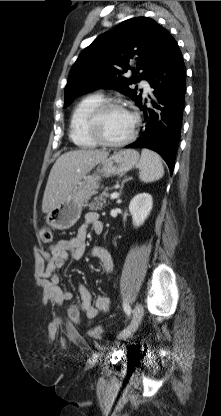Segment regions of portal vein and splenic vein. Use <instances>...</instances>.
<instances>
[{"label":"portal vein and splenic vein","instance_id":"obj_1","mask_svg":"<svg viewBox=\"0 0 221 416\" xmlns=\"http://www.w3.org/2000/svg\"><path fill=\"white\" fill-rule=\"evenodd\" d=\"M119 196V194L117 192H113L110 197L111 199H116Z\"/></svg>","mask_w":221,"mask_h":416}]
</instances>
